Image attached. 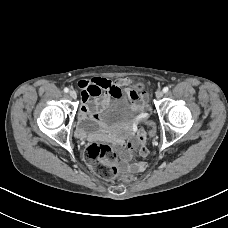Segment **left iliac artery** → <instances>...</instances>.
I'll return each mask as SVG.
<instances>
[{
    "label": "left iliac artery",
    "mask_w": 228,
    "mask_h": 228,
    "mask_svg": "<svg viewBox=\"0 0 228 228\" xmlns=\"http://www.w3.org/2000/svg\"><path fill=\"white\" fill-rule=\"evenodd\" d=\"M168 91H169V88H168V87H164V88H163V92H164V93H167Z\"/></svg>",
    "instance_id": "left-iliac-artery-1"
}]
</instances>
